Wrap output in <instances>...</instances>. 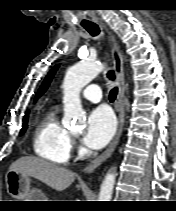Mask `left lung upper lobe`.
Returning a JSON list of instances; mask_svg holds the SVG:
<instances>
[{
	"label": "left lung upper lobe",
	"instance_id": "1",
	"mask_svg": "<svg viewBox=\"0 0 176 211\" xmlns=\"http://www.w3.org/2000/svg\"><path fill=\"white\" fill-rule=\"evenodd\" d=\"M57 68H58V65H56L54 68H52V70L48 73V75L44 79V81H43V83H42V85H41V87H40V89H39V91H38V93L36 95V99L39 96H41L44 93V91L47 89V87H48L53 75L55 74Z\"/></svg>",
	"mask_w": 176,
	"mask_h": 211
}]
</instances>
